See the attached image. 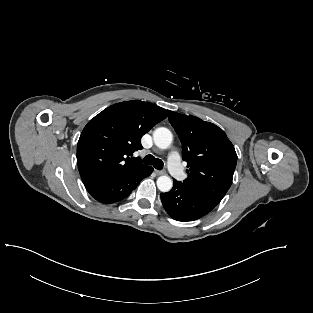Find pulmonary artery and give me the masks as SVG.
<instances>
[{
	"instance_id": "obj_1",
	"label": "pulmonary artery",
	"mask_w": 313,
	"mask_h": 313,
	"mask_svg": "<svg viewBox=\"0 0 313 313\" xmlns=\"http://www.w3.org/2000/svg\"><path fill=\"white\" fill-rule=\"evenodd\" d=\"M168 167L171 174L180 181L185 179V173L181 167L180 154L177 151H172L168 156Z\"/></svg>"
}]
</instances>
